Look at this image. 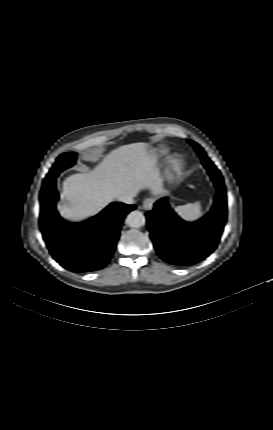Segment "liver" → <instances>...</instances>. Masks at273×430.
I'll return each mask as SVG.
<instances>
[{"label":"liver","mask_w":273,"mask_h":430,"mask_svg":"<svg viewBox=\"0 0 273 430\" xmlns=\"http://www.w3.org/2000/svg\"><path fill=\"white\" fill-rule=\"evenodd\" d=\"M149 189L163 191L155 162L146 143H132L112 150L87 173L65 179L58 206L62 218L72 223L84 222L101 212L111 201L124 194Z\"/></svg>","instance_id":"liver-1"}]
</instances>
